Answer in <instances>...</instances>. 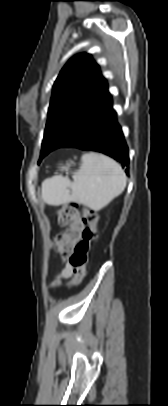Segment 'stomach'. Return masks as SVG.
Masks as SVG:
<instances>
[{
  "label": "stomach",
  "mask_w": 168,
  "mask_h": 406,
  "mask_svg": "<svg viewBox=\"0 0 168 406\" xmlns=\"http://www.w3.org/2000/svg\"><path fill=\"white\" fill-rule=\"evenodd\" d=\"M69 168H70V163H67L66 165L61 167V170L67 172L69 170Z\"/></svg>",
  "instance_id": "0dacf381"
}]
</instances>
